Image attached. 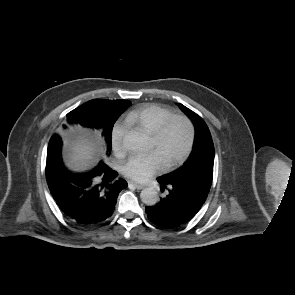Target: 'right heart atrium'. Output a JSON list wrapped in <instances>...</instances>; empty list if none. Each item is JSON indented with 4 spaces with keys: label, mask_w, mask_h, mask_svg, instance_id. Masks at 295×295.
I'll return each instance as SVG.
<instances>
[{
    "label": "right heart atrium",
    "mask_w": 295,
    "mask_h": 295,
    "mask_svg": "<svg viewBox=\"0 0 295 295\" xmlns=\"http://www.w3.org/2000/svg\"><path fill=\"white\" fill-rule=\"evenodd\" d=\"M126 133V127L121 122H116L111 130V145L113 151L121 155L124 153L123 139Z\"/></svg>",
    "instance_id": "d8ad5b80"
}]
</instances>
